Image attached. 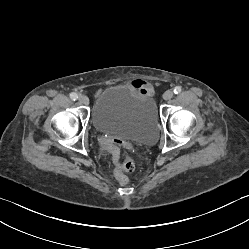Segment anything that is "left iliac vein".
Masks as SVG:
<instances>
[{"mask_svg":"<svg viewBox=\"0 0 249 249\" xmlns=\"http://www.w3.org/2000/svg\"><path fill=\"white\" fill-rule=\"evenodd\" d=\"M173 95H174V93L172 91L168 90L163 94V98H164V100H170L173 97Z\"/></svg>","mask_w":249,"mask_h":249,"instance_id":"4c4485c4","label":"left iliac vein"}]
</instances>
